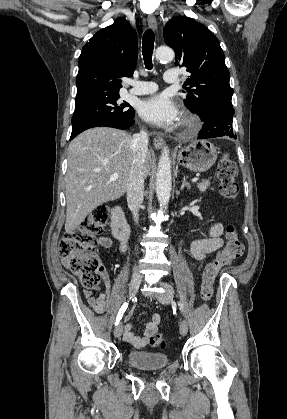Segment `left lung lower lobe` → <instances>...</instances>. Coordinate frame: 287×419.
<instances>
[{
  "instance_id": "0a47b994",
  "label": "left lung lower lobe",
  "mask_w": 287,
  "mask_h": 419,
  "mask_svg": "<svg viewBox=\"0 0 287 419\" xmlns=\"http://www.w3.org/2000/svg\"><path fill=\"white\" fill-rule=\"evenodd\" d=\"M235 111L231 101H219L210 104L205 113L199 115L203 121L198 139L229 136L236 139L232 129V118Z\"/></svg>"
}]
</instances>
